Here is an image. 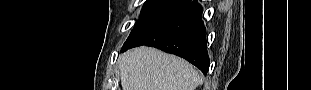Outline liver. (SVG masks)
<instances>
[{"label":"liver","mask_w":311,"mask_h":90,"mask_svg":"<svg viewBox=\"0 0 311 90\" xmlns=\"http://www.w3.org/2000/svg\"><path fill=\"white\" fill-rule=\"evenodd\" d=\"M120 76L123 90H194L200 81L186 60L149 47L124 53Z\"/></svg>","instance_id":"1"}]
</instances>
